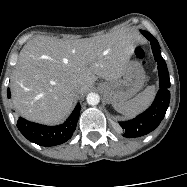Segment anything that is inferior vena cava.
Returning <instances> with one entry per match:
<instances>
[{
    "label": "inferior vena cava",
    "instance_id": "inferior-vena-cava-1",
    "mask_svg": "<svg viewBox=\"0 0 187 187\" xmlns=\"http://www.w3.org/2000/svg\"><path fill=\"white\" fill-rule=\"evenodd\" d=\"M72 94L73 95H76L77 94V91L75 89H72Z\"/></svg>",
    "mask_w": 187,
    "mask_h": 187
}]
</instances>
